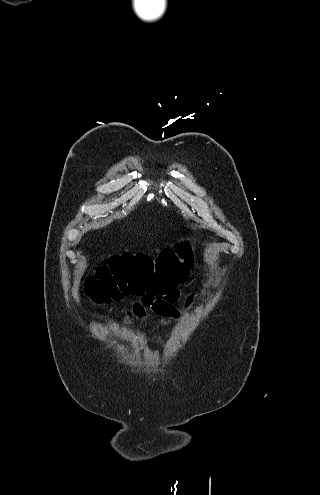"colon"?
<instances>
[{"instance_id":"1","label":"colon","mask_w":320,"mask_h":495,"mask_svg":"<svg viewBox=\"0 0 320 495\" xmlns=\"http://www.w3.org/2000/svg\"><path fill=\"white\" fill-rule=\"evenodd\" d=\"M194 238L182 239L156 259L144 254L115 255L86 282V295L98 304L118 301L127 293H165L178 284L192 265Z\"/></svg>"}]
</instances>
